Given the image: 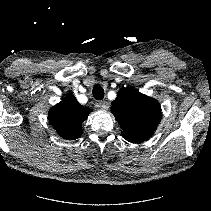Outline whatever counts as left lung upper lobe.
<instances>
[{
  "label": "left lung upper lobe",
  "mask_w": 211,
  "mask_h": 211,
  "mask_svg": "<svg viewBox=\"0 0 211 211\" xmlns=\"http://www.w3.org/2000/svg\"><path fill=\"white\" fill-rule=\"evenodd\" d=\"M111 112L120 124L122 136L131 143L149 139L161 119V107L157 100L131 88L118 91Z\"/></svg>",
  "instance_id": "1"
}]
</instances>
